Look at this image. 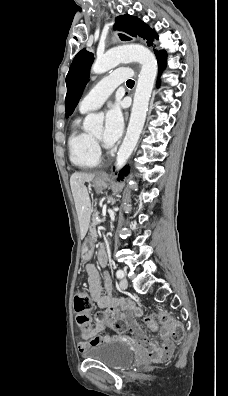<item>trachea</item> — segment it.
<instances>
[{
  "instance_id": "obj_1",
  "label": "trachea",
  "mask_w": 228,
  "mask_h": 396,
  "mask_svg": "<svg viewBox=\"0 0 228 396\" xmlns=\"http://www.w3.org/2000/svg\"><path fill=\"white\" fill-rule=\"evenodd\" d=\"M126 84H127V85L134 84V81H133V80H128V81L126 82Z\"/></svg>"
}]
</instances>
